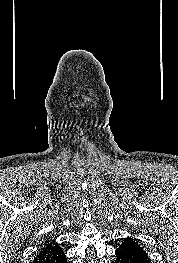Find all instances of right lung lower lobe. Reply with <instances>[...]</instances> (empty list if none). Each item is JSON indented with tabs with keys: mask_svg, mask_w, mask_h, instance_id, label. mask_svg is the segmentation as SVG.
Returning a JSON list of instances; mask_svg holds the SVG:
<instances>
[{
	"mask_svg": "<svg viewBox=\"0 0 178 263\" xmlns=\"http://www.w3.org/2000/svg\"><path fill=\"white\" fill-rule=\"evenodd\" d=\"M41 263H67V259L64 252L61 250L51 257L41 261Z\"/></svg>",
	"mask_w": 178,
	"mask_h": 263,
	"instance_id": "obj_1",
	"label": "right lung lower lobe"
}]
</instances>
